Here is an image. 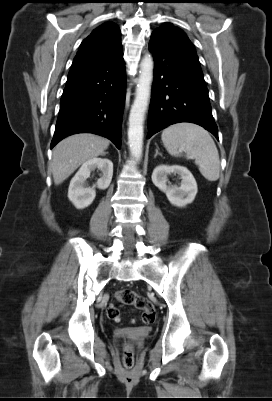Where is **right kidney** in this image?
I'll list each match as a JSON object with an SVG mask.
<instances>
[{"label": "right kidney", "mask_w": 272, "mask_h": 401, "mask_svg": "<svg viewBox=\"0 0 272 401\" xmlns=\"http://www.w3.org/2000/svg\"><path fill=\"white\" fill-rule=\"evenodd\" d=\"M95 169H99L102 172L101 177L97 181L99 189H107L111 183L113 176V163L111 160L107 158H94L85 162L72 178L68 189V198L77 209L88 207L95 199V188L85 187V181Z\"/></svg>", "instance_id": "obj_1"}]
</instances>
